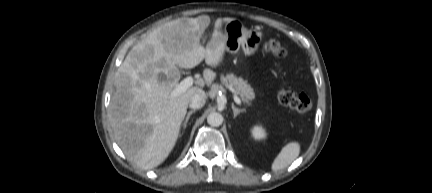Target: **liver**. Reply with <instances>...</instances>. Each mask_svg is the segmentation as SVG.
<instances>
[{"label": "liver", "instance_id": "6515ba94", "mask_svg": "<svg viewBox=\"0 0 432 193\" xmlns=\"http://www.w3.org/2000/svg\"><path fill=\"white\" fill-rule=\"evenodd\" d=\"M231 20H216L206 47L200 38L209 26L208 16L167 22L137 43L119 67L110 102V125L117 144L140 168H155L169 156L192 96L205 94L193 86L173 96L171 92L180 77L177 66L191 69L205 59L207 65L216 67L225 51L220 28ZM215 77L211 69L203 71L207 85Z\"/></svg>", "mask_w": 432, "mask_h": 193}]
</instances>
